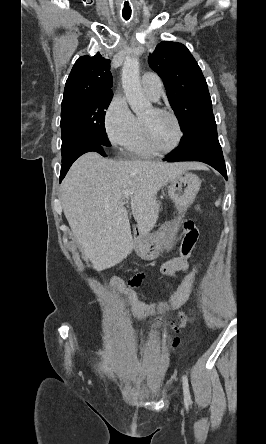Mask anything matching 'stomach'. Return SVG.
Here are the masks:
<instances>
[{
  "label": "stomach",
  "mask_w": 266,
  "mask_h": 444,
  "mask_svg": "<svg viewBox=\"0 0 266 444\" xmlns=\"http://www.w3.org/2000/svg\"><path fill=\"white\" fill-rule=\"evenodd\" d=\"M201 181L195 174L183 172L170 181L168 194L180 213H183L194 202L200 189ZM178 220L162 226L156 233L141 237L145 259H154L161 248L169 243L172 232L177 226Z\"/></svg>",
  "instance_id": "1"
}]
</instances>
